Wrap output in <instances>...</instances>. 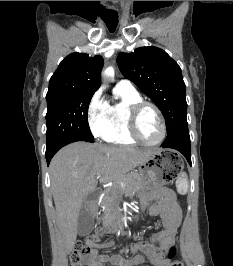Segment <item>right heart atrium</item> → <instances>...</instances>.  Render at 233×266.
<instances>
[{"mask_svg": "<svg viewBox=\"0 0 233 266\" xmlns=\"http://www.w3.org/2000/svg\"><path fill=\"white\" fill-rule=\"evenodd\" d=\"M108 108L109 104L102 91H96L87 108V120L92 134L97 138H104L110 129Z\"/></svg>", "mask_w": 233, "mask_h": 266, "instance_id": "1", "label": "right heart atrium"}]
</instances>
